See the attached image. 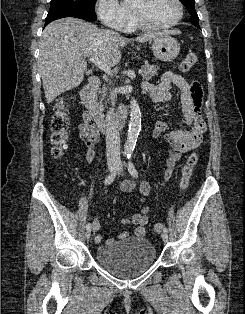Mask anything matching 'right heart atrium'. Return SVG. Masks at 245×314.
Returning <instances> with one entry per match:
<instances>
[{"mask_svg": "<svg viewBox=\"0 0 245 314\" xmlns=\"http://www.w3.org/2000/svg\"><path fill=\"white\" fill-rule=\"evenodd\" d=\"M96 10L104 25L119 31L129 28L131 12L116 0H98Z\"/></svg>", "mask_w": 245, "mask_h": 314, "instance_id": "d8ad5b80", "label": "right heart atrium"}]
</instances>
